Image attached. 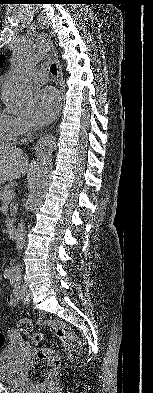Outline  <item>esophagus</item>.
Masks as SVG:
<instances>
[{"label": "esophagus", "instance_id": "esophagus-1", "mask_svg": "<svg viewBox=\"0 0 153 393\" xmlns=\"http://www.w3.org/2000/svg\"><path fill=\"white\" fill-rule=\"evenodd\" d=\"M53 60L57 67V82L60 90V106H62L63 98H64V83H63L62 68L58 59L57 51L53 52Z\"/></svg>", "mask_w": 153, "mask_h": 393}]
</instances>
